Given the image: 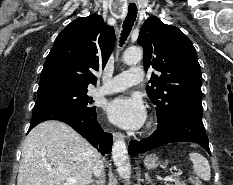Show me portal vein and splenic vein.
<instances>
[{
	"mask_svg": "<svg viewBox=\"0 0 233 185\" xmlns=\"http://www.w3.org/2000/svg\"><path fill=\"white\" fill-rule=\"evenodd\" d=\"M173 180H174L173 176H166V177L164 178V181H173ZM67 182H68V183H71V182H74V180H73L72 178H69V179L67 180ZM65 185H68V184H65Z\"/></svg>",
	"mask_w": 233,
	"mask_h": 185,
	"instance_id": "portal-vein-and-splenic-vein-1",
	"label": "portal vein and splenic vein"
}]
</instances>
